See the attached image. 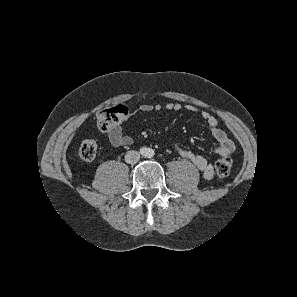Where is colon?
Wrapping results in <instances>:
<instances>
[{
    "label": "colon",
    "instance_id": "obj_1",
    "mask_svg": "<svg viewBox=\"0 0 297 297\" xmlns=\"http://www.w3.org/2000/svg\"><path fill=\"white\" fill-rule=\"evenodd\" d=\"M128 109L123 105H117L100 111L97 115V126L101 131L107 132L114 125L126 117ZM97 154V144L93 140H84L79 146V155L83 160L91 161ZM232 167V159L223 157L216 163V172L220 178L229 175Z\"/></svg>",
    "mask_w": 297,
    "mask_h": 297
}]
</instances>
